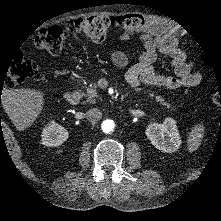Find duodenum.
I'll return each mask as SVG.
<instances>
[{
    "instance_id": "1",
    "label": "duodenum",
    "mask_w": 221,
    "mask_h": 221,
    "mask_svg": "<svg viewBox=\"0 0 221 221\" xmlns=\"http://www.w3.org/2000/svg\"><path fill=\"white\" fill-rule=\"evenodd\" d=\"M64 98L69 104L76 105L81 99V94L77 91H69L64 94Z\"/></svg>"
}]
</instances>
